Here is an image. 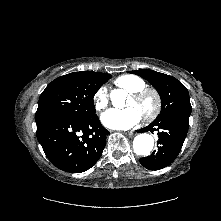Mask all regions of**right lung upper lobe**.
Masks as SVG:
<instances>
[{"label": "right lung upper lobe", "mask_w": 221, "mask_h": 221, "mask_svg": "<svg viewBox=\"0 0 221 221\" xmlns=\"http://www.w3.org/2000/svg\"><path fill=\"white\" fill-rule=\"evenodd\" d=\"M74 73H77L85 77H91V78L103 77L107 74V73H98V72H93V71H81V72H74Z\"/></svg>", "instance_id": "cb5924a9"}]
</instances>
